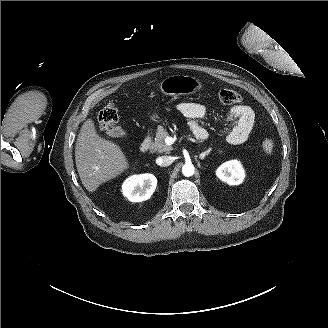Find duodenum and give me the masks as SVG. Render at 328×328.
Here are the masks:
<instances>
[{"label":"duodenum","mask_w":328,"mask_h":328,"mask_svg":"<svg viewBox=\"0 0 328 328\" xmlns=\"http://www.w3.org/2000/svg\"><path fill=\"white\" fill-rule=\"evenodd\" d=\"M152 142V136L150 134H148L142 141L141 145H140V151L141 152H147L150 148Z\"/></svg>","instance_id":"obj_1"}]
</instances>
